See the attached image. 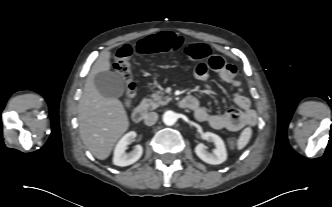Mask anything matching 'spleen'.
Returning <instances> with one entry per match:
<instances>
[{
    "label": "spleen",
    "instance_id": "obj_1",
    "mask_svg": "<svg viewBox=\"0 0 332 207\" xmlns=\"http://www.w3.org/2000/svg\"><path fill=\"white\" fill-rule=\"evenodd\" d=\"M252 136V129L250 127L245 128L237 142V149L242 150L250 141V138Z\"/></svg>",
    "mask_w": 332,
    "mask_h": 207
}]
</instances>
